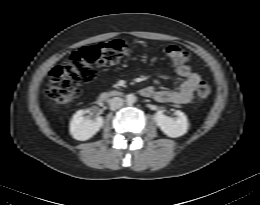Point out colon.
<instances>
[{
  "mask_svg": "<svg viewBox=\"0 0 260 205\" xmlns=\"http://www.w3.org/2000/svg\"><path fill=\"white\" fill-rule=\"evenodd\" d=\"M129 54L130 46L121 40L102 42L74 51L66 62L51 71L45 87L48 99L55 104L74 103L80 92L79 87L94 78L96 65H117ZM166 55L176 65L185 63L189 58L188 51L177 45L168 46ZM210 91L209 83L204 80H200L195 88L199 99H206Z\"/></svg>",
  "mask_w": 260,
  "mask_h": 205,
  "instance_id": "5ec220e1",
  "label": "colon"
}]
</instances>
